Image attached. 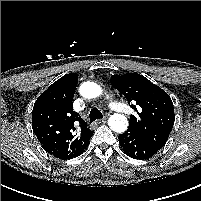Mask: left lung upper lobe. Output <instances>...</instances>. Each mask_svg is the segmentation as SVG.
Segmentation results:
<instances>
[{
  "label": "left lung upper lobe",
  "instance_id": "obj_1",
  "mask_svg": "<svg viewBox=\"0 0 201 201\" xmlns=\"http://www.w3.org/2000/svg\"><path fill=\"white\" fill-rule=\"evenodd\" d=\"M111 84L127 98L138 116H130L129 128L154 147L161 149L174 125V107L170 96L146 77L129 73L114 75Z\"/></svg>",
  "mask_w": 201,
  "mask_h": 201
}]
</instances>
